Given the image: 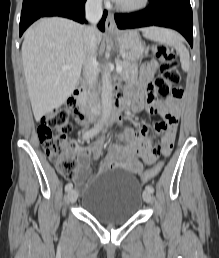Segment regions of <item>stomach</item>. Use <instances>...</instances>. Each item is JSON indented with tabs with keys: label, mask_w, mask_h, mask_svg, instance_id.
<instances>
[{
	"label": "stomach",
	"mask_w": 219,
	"mask_h": 258,
	"mask_svg": "<svg viewBox=\"0 0 219 258\" xmlns=\"http://www.w3.org/2000/svg\"><path fill=\"white\" fill-rule=\"evenodd\" d=\"M114 36L119 47L121 57L130 62H136L143 57L145 45L137 31H121Z\"/></svg>",
	"instance_id": "stomach-1"
}]
</instances>
